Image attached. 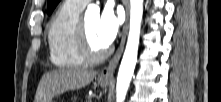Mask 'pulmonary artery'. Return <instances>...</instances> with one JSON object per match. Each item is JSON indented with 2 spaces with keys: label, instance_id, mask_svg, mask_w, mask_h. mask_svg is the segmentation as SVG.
Here are the masks:
<instances>
[{
  "label": "pulmonary artery",
  "instance_id": "pulmonary-artery-1",
  "mask_svg": "<svg viewBox=\"0 0 221 102\" xmlns=\"http://www.w3.org/2000/svg\"><path fill=\"white\" fill-rule=\"evenodd\" d=\"M83 6H85L88 2H90V0H73Z\"/></svg>",
  "mask_w": 221,
  "mask_h": 102
}]
</instances>
